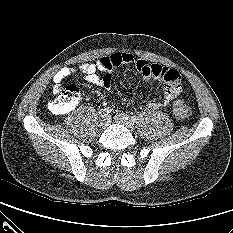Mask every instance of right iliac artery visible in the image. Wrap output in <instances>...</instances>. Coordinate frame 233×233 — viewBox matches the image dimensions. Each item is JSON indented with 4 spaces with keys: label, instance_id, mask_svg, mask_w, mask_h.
<instances>
[{
    "label": "right iliac artery",
    "instance_id": "obj_1",
    "mask_svg": "<svg viewBox=\"0 0 233 233\" xmlns=\"http://www.w3.org/2000/svg\"><path fill=\"white\" fill-rule=\"evenodd\" d=\"M112 109L110 107H107L103 110V114L104 115H108L109 113H111Z\"/></svg>",
    "mask_w": 233,
    "mask_h": 233
}]
</instances>
